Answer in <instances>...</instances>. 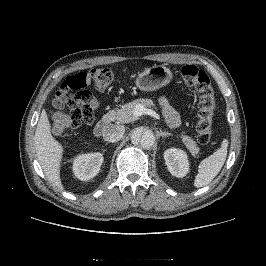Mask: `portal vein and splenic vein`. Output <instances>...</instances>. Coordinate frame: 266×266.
<instances>
[{"label":"portal vein and splenic vein","instance_id":"portal-vein-and-splenic-vein-1","mask_svg":"<svg viewBox=\"0 0 266 266\" xmlns=\"http://www.w3.org/2000/svg\"><path fill=\"white\" fill-rule=\"evenodd\" d=\"M143 114L152 116L156 119H160L159 115L155 111H153L151 109H147L141 104L136 105V107L134 109V115L138 117V116H141Z\"/></svg>","mask_w":266,"mask_h":266}]
</instances>
